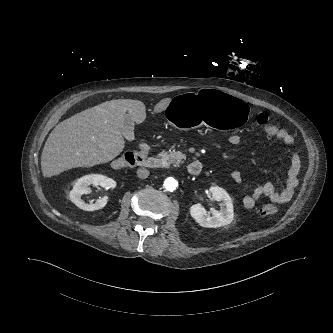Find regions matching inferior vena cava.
I'll return each mask as SVG.
<instances>
[{"label":"inferior vena cava","mask_w":333,"mask_h":333,"mask_svg":"<svg viewBox=\"0 0 333 333\" xmlns=\"http://www.w3.org/2000/svg\"><path fill=\"white\" fill-rule=\"evenodd\" d=\"M137 176L141 179H145L149 176V170L141 168L137 170Z\"/></svg>","instance_id":"1"}]
</instances>
